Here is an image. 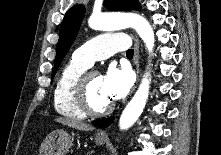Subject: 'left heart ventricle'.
<instances>
[{
    "label": "left heart ventricle",
    "mask_w": 221,
    "mask_h": 155,
    "mask_svg": "<svg viewBox=\"0 0 221 155\" xmlns=\"http://www.w3.org/2000/svg\"><path fill=\"white\" fill-rule=\"evenodd\" d=\"M88 97L95 109H102L111 103L103 89L102 76L95 73L91 76L88 85Z\"/></svg>",
    "instance_id": "left-heart-ventricle-1"
}]
</instances>
